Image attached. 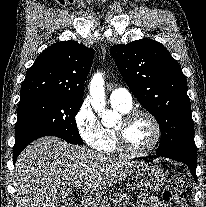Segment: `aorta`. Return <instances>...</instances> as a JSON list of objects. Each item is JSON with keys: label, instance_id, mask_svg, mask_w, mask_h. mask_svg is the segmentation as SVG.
I'll return each instance as SVG.
<instances>
[{"label": "aorta", "instance_id": "aorta-1", "mask_svg": "<svg viewBox=\"0 0 206 207\" xmlns=\"http://www.w3.org/2000/svg\"><path fill=\"white\" fill-rule=\"evenodd\" d=\"M92 108L101 116L104 125L114 123L118 119V114L112 110L106 109V100L104 92V81L102 74H96L92 78L89 87Z\"/></svg>", "mask_w": 206, "mask_h": 207}]
</instances>
